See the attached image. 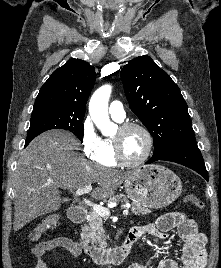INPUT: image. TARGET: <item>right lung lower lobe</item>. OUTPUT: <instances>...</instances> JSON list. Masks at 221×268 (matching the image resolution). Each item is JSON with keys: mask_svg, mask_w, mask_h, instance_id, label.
Here are the masks:
<instances>
[{"mask_svg": "<svg viewBox=\"0 0 221 268\" xmlns=\"http://www.w3.org/2000/svg\"><path fill=\"white\" fill-rule=\"evenodd\" d=\"M35 137H27L25 147L34 139Z\"/></svg>", "mask_w": 221, "mask_h": 268, "instance_id": "right-lung-lower-lobe-1", "label": "right lung lower lobe"}]
</instances>
